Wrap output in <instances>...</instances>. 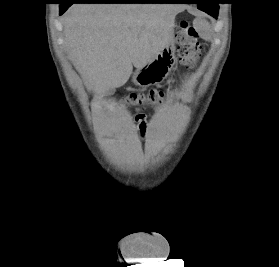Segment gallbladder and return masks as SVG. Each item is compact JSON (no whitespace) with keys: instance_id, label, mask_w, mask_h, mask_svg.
<instances>
[{"instance_id":"bac80fb5","label":"gallbladder","mask_w":279,"mask_h":267,"mask_svg":"<svg viewBox=\"0 0 279 267\" xmlns=\"http://www.w3.org/2000/svg\"><path fill=\"white\" fill-rule=\"evenodd\" d=\"M110 92H112V89H110V90L108 91V93H110Z\"/></svg>"}]
</instances>
